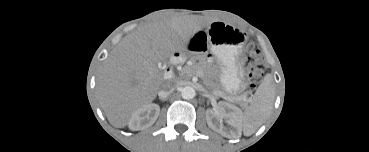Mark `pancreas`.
<instances>
[{
  "label": "pancreas",
  "instance_id": "obj_1",
  "mask_svg": "<svg viewBox=\"0 0 369 152\" xmlns=\"http://www.w3.org/2000/svg\"><path fill=\"white\" fill-rule=\"evenodd\" d=\"M196 74L199 76V77H201V78H203V83H204V85L206 86V88L209 90V91H211L213 94L215 93V94H217V95H224L225 93L223 92V91H221L220 89H219V87L217 86V84H215V83H213V82H211V81H209V80H207L206 78H205V75H204V72H203V70L201 69V68H198L197 70H196Z\"/></svg>",
  "mask_w": 369,
  "mask_h": 152
}]
</instances>
